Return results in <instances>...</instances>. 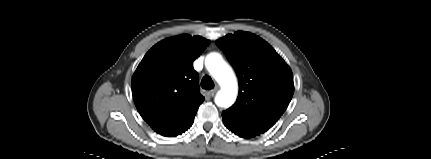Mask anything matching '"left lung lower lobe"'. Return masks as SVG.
Returning <instances> with one entry per match:
<instances>
[{"instance_id":"obj_1","label":"left lung lower lobe","mask_w":431,"mask_h":159,"mask_svg":"<svg viewBox=\"0 0 431 159\" xmlns=\"http://www.w3.org/2000/svg\"><path fill=\"white\" fill-rule=\"evenodd\" d=\"M222 117L224 125L227 127V129L240 137L251 138L268 130L262 127H254L239 123L238 121L231 119L225 115H222Z\"/></svg>"}]
</instances>
